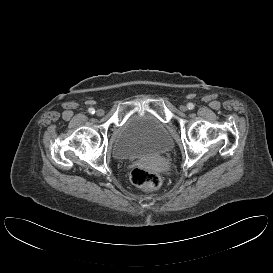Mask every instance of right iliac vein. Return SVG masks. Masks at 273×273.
I'll list each match as a JSON object with an SVG mask.
<instances>
[{
  "label": "right iliac vein",
  "instance_id": "63e3f726",
  "mask_svg": "<svg viewBox=\"0 0 273 273\" xmlns=\"http://www.w3.org/2000/svg\"><path fill=\"white\" fill-rule=\"evenodd\" d=\"M96 114H97L98 116H103V115H104V110H103V109H98V110L96 111Z\"/></svg>",
  "mask_w": 273,
  "mask_h": 273
}]
</instances>
